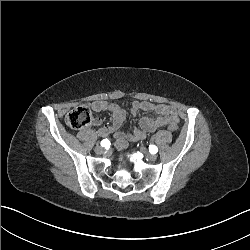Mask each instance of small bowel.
Here are the masks:
<instances>
[{
	"label": "small bowel",
	"instance_id": "1",
	"mask_svg": "<svg viewBox=\"0 0 250 250\" xmlns=\"http://www.w3.org/2000/svg\"><path fill=\"white\" fill-rule=\"evenodd\" d=\"M87 106L96 112H110L112 115V124L103 126L102 120L96 118L93 120V126L98 128V136L106 138L113 134L115 138V146L118 149H123L127 146L128 141H135L145 138L146 134L153 132L161 127H167L170 123H175L178 126L179 118L176 110L168 104H152L149 102H135L131 106V113L136 115L140 110L154 112L156 117H142L139 121V127L133 128L129 132L120 130L121 125L125 120V111L116 104L106 101H93Z\"/></svg>",
	"mask_w": 250,
	"mask_h": 250
}]
</instances>
